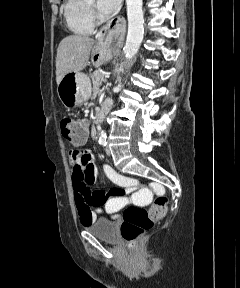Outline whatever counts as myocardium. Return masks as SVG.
<instances>
[{
    "label": "myocardium",
    "mask_w": 240,
    "mask_h": 288,
    "mask_svg": "<svg viewBox=\"0 0 240 288\" xmlns=\"http://www.w3.org/2000/svg\"><path fill=\"white\" fill-rule=\"evenodd\" d=\"M88 5H89V7H90V9H91V8H92V4L88 3Z\"/></svg>",
    "instance_id": "myocardium-1"
}]
</instances>
